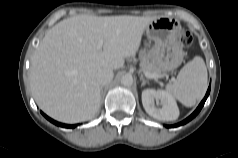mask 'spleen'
<instances>
[{"instance_id":"spleen-1","label":"spleen","mask_w":238,"mask_h":158,"mask_svg":"<svg viewBox=\"0 0 238 158\" xmlns=\"http://www.w3.org/2000/svg\"><path fill=\"white\" fill-rule=\"evenodd\" d=\"M207 81L205 62L200 56H196L180 70L177 79L167 84L166 92L184 106L192 107L203 98Z\"/></svg>"}]
</instances>
